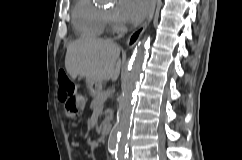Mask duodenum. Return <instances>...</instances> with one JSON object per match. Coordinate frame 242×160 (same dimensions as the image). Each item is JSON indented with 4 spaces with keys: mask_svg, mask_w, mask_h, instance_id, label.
Listing matches in <instances>:
<instances>
[{
    "mask_svg": "<svg viewBox=\"0 0 242 160\" xmlns=\"http://www.w3.org/2000/svg\"><path fill=\"white\" fill-rule=\"evenodd\" d=\"M110 131H111V125L109 123L102 125V127H101L102 135L107 136V135H109Z\"/></svg>",
    "mask_w": 242,
    "mask_h": 160,
    "instance_id": "obj_1",
    "label": "duodenum"
}]
</instances>
